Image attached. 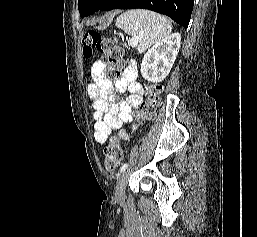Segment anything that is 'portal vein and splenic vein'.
Listing matches in <instances>:
<instances>
[{
  "label": "portal vein and splenic vein",
  "instance_id": "18ae733b",
  "mask_svg": "<svg viewBox=\"0 0 257 237\" xmlns=\"http://www.w3.org/2000/svg\"><path fill=\"white\" fill-rule=\"evenodd\" d=\"M137 43H138V39H134L130 42V46L131 47H136L137 46Z\"/></svg>",
  "mask_w": 257,
  "mask_h": 237
}]
</instances>
